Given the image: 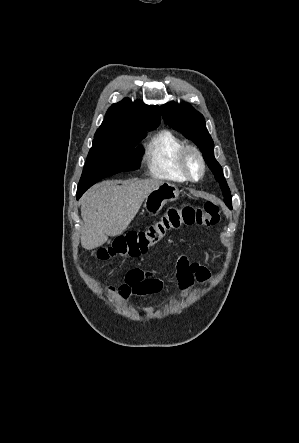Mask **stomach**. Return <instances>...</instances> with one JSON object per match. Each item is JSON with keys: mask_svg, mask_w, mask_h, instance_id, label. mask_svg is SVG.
Listing matches in <instances>:
<instances>
[{"mask_svg": "<svg viewBox=\"0 0 299 443\" xmlns=\"http://www.w3.org/2000/svg\"><path fill=\"white\" fill-rule=\"evenodd\" d=\"M179 196L178 188L171 183H163L153 189L145 199L144 210L150 215L158 214L167 202Z\"/></svg>", "mask_w": 299, "mask_h": 443, "instance_id": "obj_1", "label": "stomach"}]
</instances>
